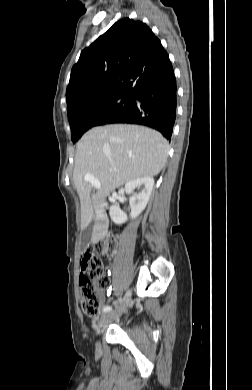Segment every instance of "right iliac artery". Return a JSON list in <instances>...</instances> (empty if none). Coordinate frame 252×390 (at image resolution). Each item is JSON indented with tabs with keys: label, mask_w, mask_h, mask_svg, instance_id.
<instances>
[{
	"label": "right iliac artery",
	"mask_w": 252,
	"mask_h": 390,
	"mask_svg": "<svg viewBox=\"0 0 252 390\" xmlns=\"http://www.w3.org/2000/svg\"><path fill=\"white\" fill-rule=\"evenodd\" d=\"M112 310V307H110V306H105L104 308H103V312H110Z\"/></svg>",
	"instance_id": "obj_1"
}]
</instances>
